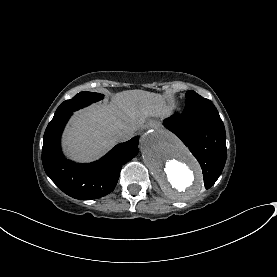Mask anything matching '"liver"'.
Returning <instances> with one entry per match:
<instances>
[{
    "mask_svg": "<svg viewBox=\"0 0 277 277\" xmlns=\"http://www.w3.org/2000/svg\"><path fill=\"white\" fill-rule=\"evenodd\" d=\"M166 110L160 95L140 90L119 93L111 106L96 105L80 111L66 132L65 146L78 159L97 158L117 142L115 131L142 129L148 118H163Z\"/></svg>",
    "mask_w": 277,
    "mask_h": 277,
    "instance_id": "1",
    "label": "liver"
}]
</instances>
